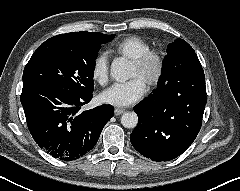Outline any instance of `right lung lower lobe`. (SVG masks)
Here are the masks:
<instances>
[{
  "label": "right lung lower lobe",
  "instance_id": "right-lung-lower-lobe-1",
  "mask_svg": "<svg viewBox=\"0 0 240 191\" xmlns=\"http://www.w3.org/2000/svg\"><path fill=\"white\" fill-rule=\"evenodd\" d=\"M91 99L92 92L77 95L51 85L23 84L21 103L28 129L39 147L64 161L88 153L114 115L109 105L80 111Z\"/></svg>",
  "mask_w": 240,
  "mask_h": 191
}]
</instances>
